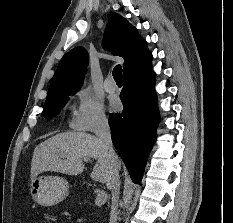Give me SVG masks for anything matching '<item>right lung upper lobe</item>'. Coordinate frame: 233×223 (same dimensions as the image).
I'll use <instances>...</instances> for the list:
<instances>
[{"label": "right lung upper lobe", "mask_w": 233, "mask_h": 223, "mask_svg": "<svg viewBox=\"0 0 233 223\" xmlns=\"http://www.w3.org/2000/svg\"><path fill=\"white\" fill-rule=\"evenodd\" d=\"M103 46L124 59V77L151 64L152 54L147 49L146 41L140 37L135 27L117 13L110 16ZM87 65L88 55L83 47H76L66 53L53 76L44 105L58 102L77 92L82 85Z\"/></svg>", "instance_id": "right-lung-upper-lobe-1"}]
</instances>
